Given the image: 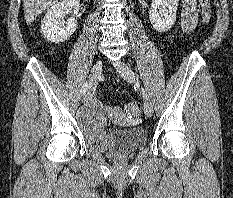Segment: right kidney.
I'll return each mask as SVG.
<instances>
[{
    "label": "right kidney",
    "mask_w": 233,
    "mask_h": 198,
    "mask_svg": "<svg viewBox=\"0 0 233 198\" xmlns=\"http://www.w3.org/2000/svg\"><path fill=\"white\" fill-rule=\"evenodd\" d=\"M80 9V0H62L48 9L41 22V32L45 38L53 43H60L68 38L77 29V16ZM73 11V17L65 22L61 17L66 11Z\"/></svg>",
    "instance_id": "1"
}]
</instances>
